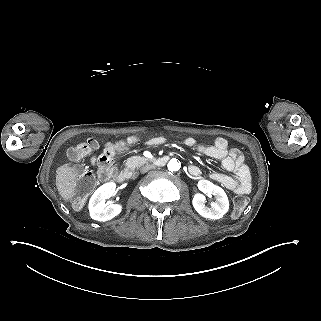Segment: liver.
I'll use <instances>...</instances> for the list:
<instances>
[{"label":"liver","instance_id":"obj_1","mask_svg":"<svg viewBox=\"0 0 321 321\" xmlns=\"http://www.w3.org/2000/svg\"><path fill=\"white\" fill-rule=\"evenodd\" d=\"M79 172L70 164L60 165L56 170V187L64 201H71L77 194Z\"/></svg>","mask_w":321,"mask_h":321}]
</instances>
